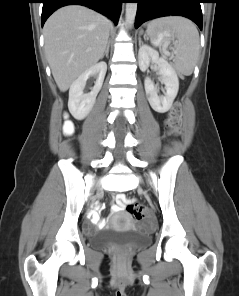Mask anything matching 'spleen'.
Returning <instances> with one entry per match:
<instances>
[{
    "label": "spleen",
    "mask_w": 239,
    "mask_h": 296,
    "mask_svg": "<svg viewBox=\"0 0 239 296\" xmlns=\"http://www.w3.org/2000/svg\"><path fill=\"white\" fill-rule=\"evenodd\" d=\"M163 28H169L177 33L178 42L174 51L175 69L183 75H191L200 48L199 33L195 25L184 18L170 17L150 22L147 27V33L154 35Z\"/></svg>",
    "instance_id": "3e777b00"
}]
</instances>
